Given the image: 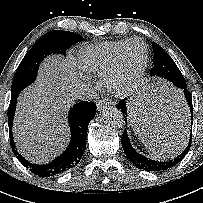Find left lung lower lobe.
I'll list each match as a JSON object with an SVG mask.
<instances>
[{
  "instance_id": "1",
  "label": "left lung lower lobe",
  "mask_w": 203,
  "mask_h": 203,
  "mask_svg": "<svg viewBox=\"0 0 203 203\" xmlns=\"http://www.w3.org/2000/svg\"><path fill=\"white\" fill-rule=\"evenodd\" d=\"M162 62L165 63V66L163 68L165 69V74L164 78L172 82L175 86H177L180 89H183L184 95L187 101V104L189 106V110L191 112V120L193 119V108H192V97L191 93L186 89L187 85L185 82V79L183 75L181 74L180 70L178 69L177 65L175 62L173 63L171 60H165ZM184 106L186 108V113H187V129L190 127V116H189V111L185 105V101L183 99ZM117 108L120 109L126 116H127V110H126V104L125 100H122L118 105ZM155 113L154 108L151 110V116ZM192 124V121H191ZM192 128V127H191ZM191 138L192 134H190V139L187 147L185 150L178 155L176 158L172 160H167V161H156L152 159H148L145 156L139 154L135 149L132 147L127 130L125 129L122 137H121V143L122 147L124 149V152L126 156L130 159V161L138 168L146 170V171H153V172H160V171H165L173 166H175L177 163H179L185 155L188 153L190 147H191Z\"/></svg>"
}]
</instances>
